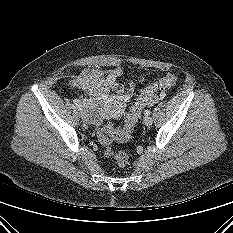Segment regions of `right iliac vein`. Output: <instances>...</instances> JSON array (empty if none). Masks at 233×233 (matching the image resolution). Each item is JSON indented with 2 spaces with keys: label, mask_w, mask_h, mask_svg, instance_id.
<instances>
[{
  "label": "right iliac vein",
  "mask_w": 233,
  "mask_h": 233,
  "mask_svg": "<svg viewBox=\"0 0 233 233\" xmlns=\"http://www.w3.org/2000/svg\"><path fill=\"white\" fill-rule=\"evenodd\" d=\"M80 116H81V118L84 119V120H87V119H88V115H87L86 111H81V112H80Z\"/></svg>",
  "instance_id": "obj_1"
}]
</instances>
